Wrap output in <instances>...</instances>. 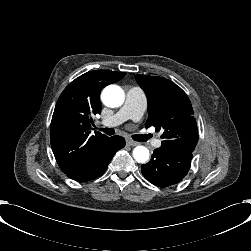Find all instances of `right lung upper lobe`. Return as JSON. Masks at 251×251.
<instances>
[{"label":"right lung upper lobe","instance_id":"obj_1","mask_svg":"<svg viewBox=\"0 0 251 251\" xmlns=\"http://www.w3.org/2000/svg\"><path fill=\"white\" fill-rule=\"evenodd\" d=\"M125 75L108 70L89 71L61 93L52 116L50 140L55 159L65 174L88 162L109 138L98 131L90 135L92 117L101 112V90Z\"/></svg>","mask_w":251,"mask_h":251}]
</instances>
